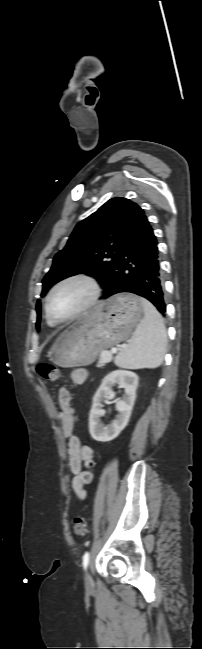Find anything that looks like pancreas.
<instances>
[{
    "label": "pancreas",
    "instance_id": "cf45deb5",
    "mask_svg": "<svg viewBox=\"0 0 202 649\" xmlns=\"http://www.w3.org/2000/svg\"><path fill=\"white\" fill-rule=\"evenodd\" d=\"M104 352H108V351H104ZM108 353H110V352H108ZM105 364H106V362H103V361L100 359V360L98 361V363H97V367H103Z\"/></svg>",
    "mask_w": 202,
    "mask_h": 649
}]
</instances>
